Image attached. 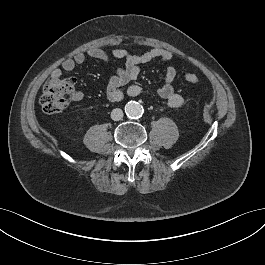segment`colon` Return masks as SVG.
<instances>
[{
    "label": "colon",
    "mask_w": 265,
    "mask_h": 265,
    "mask_svg": "<svg viewBox=\"0 0 265 265\" xmlns=\"http://www.w3.org/2000/svg\"><path fill=\"white\" fill-rule=\"evenodd\" d=\"M185 80L193 85L201 82L199 76L187 72L184 75ZM75 81L71 77L51 76L43 86L39 99L44 112L48 114L63 112L74 99Z\"/></svg>",
    "instance_id": "5ec220e1"
}]
</instances>
